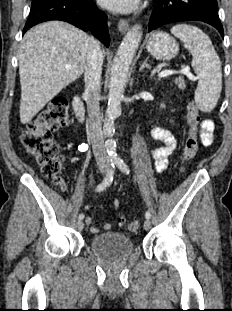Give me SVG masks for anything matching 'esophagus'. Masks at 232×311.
<instances>
[{
    "label": "esophagus",
    "mask_w": 232,
    "mask_h": 311,
    "mask_svg": "<svg viewBox=\"0 0 232 311\" xmlns=\"http://www.w3.org/2000/svg\"><path fill=\"white\" fill-rule=\"evenodd\" d=\"M129 23L127 20L121 19L118 23V29L121 33H125L128 30Z\"/></svg>",
    "instance_id": "obj_1"
}]
</instances>
